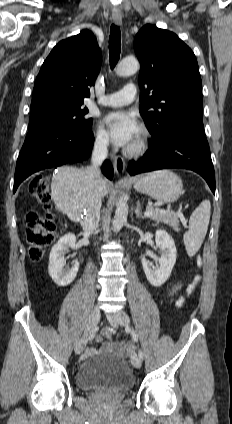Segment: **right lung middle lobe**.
<instances>
[{"instance_id": "1", "label": "right lung middle lobe", "mask_w": 232, "mask_h": 424, "mask_svg": "<svg viewBox=\"0 0 232 424\" xmlns=\"http://www.w3.org/2000/svg\"><path fill=\"white\" fill-rule=\"evenodd\" d=\"M88 109L82 105L49 103L31 108L28 129L58 128L69 131H86L92 126V119L85 118Z\"/></svg>"}]
</instances>
